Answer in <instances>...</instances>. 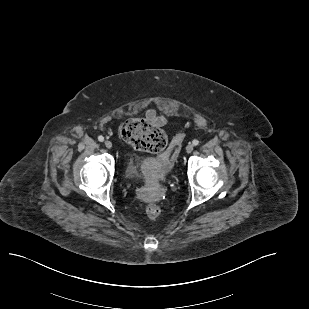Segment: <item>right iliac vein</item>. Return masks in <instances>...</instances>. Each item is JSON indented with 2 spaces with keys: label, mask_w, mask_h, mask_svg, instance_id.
Segmentation results:
<instances>
[{
  "label": "right iliac vein",
  "mask_w": 309,
  "mask_h": 309,
  "mask_svg": "<svg viewBox=\"0 0 309 309\" xmlns=\"http://www.w3.org/2000/svg\"><path fill=\"white\" fill-rule=\"evenodd\" d=\"M104 144H105V146H106L108 149H110V148L112 147V142L109 141V140H106V141L104 142Z\"/></svg>",
  "instance_id": "63e3f726"
}]
</instances>
